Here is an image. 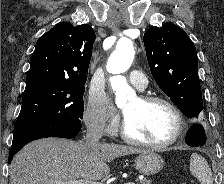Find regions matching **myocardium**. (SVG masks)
I'll list each match as a JSON object with an SVG mask.
<instances>
[{
	"label": "myocardium",
	"mask_w": 224,
	"mask_h": 184,
	"mask_svg": "<svg viewBox=\"0 0 224 184\" xmlns=\"http://www.w3.org/2000/svg\"><path fill=\"white\" fill-rule=\"evenodd\" d=\"M139 99L141 102L145 104H151V103H161L167 106L174 114L175 120H176V126L175 130L172 134V136L161 143H151V142H146L143 140H140L138 138L133 137L128 130V123L127 119L125 117L122 128H121V134L122 137L135 145H139L142 147L150 148V149H155V150H161L165 149L174 143H176L183 135L184 130H185V120L182 111L179 109V107L170 99L160 96V95H141L139 96Z\"/></svg>",
	"instance_id": "1"
}]
</instances>
